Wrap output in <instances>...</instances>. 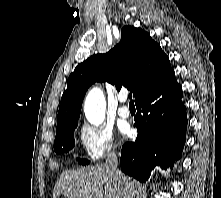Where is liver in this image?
Segmentation results:
<instances>
[{"label": "liver", "instance_id": "liver-1", "mask_svg": "<svg viewBox=\"0 0 221 198\" xmlns=\"http://www.w3.org/2000/svg\"><path fill=\"white\" fill-rule=\"evenodd\" d=\"M60 194L68 198H123L120 185L104 166L63 171L54 187L53 198Z\"/></svg>", "mask_w": 221, "mask_h": 198}]
</instances>
